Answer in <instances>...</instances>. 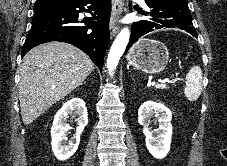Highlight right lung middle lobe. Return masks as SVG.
I'll return each mask as SVG.
<instances>
[{"mask_svg": "<svg viewBox=\"0 0 227 166\" xmlns=\"http://www.w3.org/2000/svg\"><path fill=\"white\" fill-rule=\"evenodd\" d=\"M65 7L66 6H54V5L34 6V15H33V17L45 14V13L53 11V10L63 9Z\"/></svg>", "mask_w": 227, "mask_h": 166, "instance_id": "right-lung-middle-lobe-1", "label": "right lung middle lobe"}]
</instances>
